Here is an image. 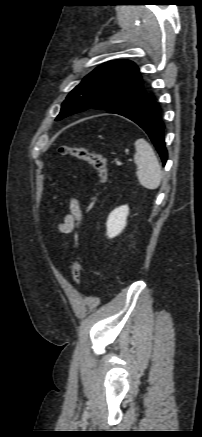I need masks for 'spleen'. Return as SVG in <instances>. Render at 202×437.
Masks as SVG:
<instances>
[{
    "instance_id": "obj_1",
    "label": "spleen",
    "mask_w": 202,
    "mask_h": 437,
    "mask_svg": "<svg viewBox=\"0 0 202 437\" xmlns=\"http://www.w3.org/2000/svg\"><path fill=\"white\" fill-rule=\"evenodd\" d=\"M135 147L134 160L138 167L136 175L140 184L150 190L157 189L161 183L162 172L151 145L144 139H138Z\"/></svg>"
}]
</instances>
